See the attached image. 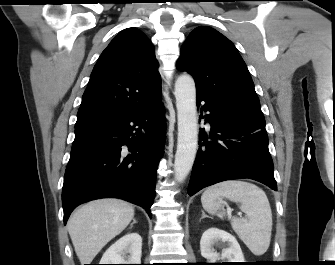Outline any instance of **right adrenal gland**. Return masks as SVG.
Wrapping results in <instances>:
<instances>
[{"label": "right adrenal gland", "mask_w": 335, "mask_h": 265, "mask_svg": "<svg viewBox=\"0 0 335 265\" xmlns=\"http://www.w3.org/2000/svg\"><path fill=\"white\" fill-rule=\"evenodd\" d=\"M135 223H137V222H136V220L134 219L133 222L131 223L130 227L132 228L133 225H134Z\"/></svg>", "instance_id": "obj_1"}]
</instances>
